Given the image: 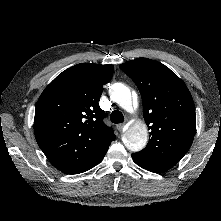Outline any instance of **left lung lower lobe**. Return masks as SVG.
I'll return each mask as SVG.
<instances>
[{"instance_id":"left-lung-lower-lobe-1","label":"left lung lower lobe","mask_w":221,"mask_h":221,"mask_svg":"<svg viewBox=\"0 0 221 221\" xmlns=\"http://www.w3.org/2000/svg\"><path fill=\"white\" fill-rule=\"evenodd\" d=\"M131 156L139 166L152 172H164L173 167V165L144 157L138 153H133Z\"/></svg>"}]
</instances>
